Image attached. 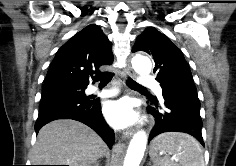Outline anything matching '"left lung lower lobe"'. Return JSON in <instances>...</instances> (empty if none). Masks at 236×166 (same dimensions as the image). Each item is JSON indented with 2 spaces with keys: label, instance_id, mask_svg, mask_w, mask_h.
Instances as JSON below:
<instances>
[{
  "label": "left lung lower lobe",
  "instance_id": "0a47b994",
  "mask_svg": "<svg viewBox=\"0 0 236 166\" xmlns=\"http://www.w3.org/2000/svg\"><path fill=\"white\" fill-rule=\"evenodd\" d=\"M164 108L159 112V104L155 99L148 111L155 117V126L149 135V141L164 132H184L194 136L203 146L202 119L200 116V101L195 85L171 84L162 87Z\"/></svg>",
  "mask_w": 236,
  "mask_h": 166
}]
</instances>
